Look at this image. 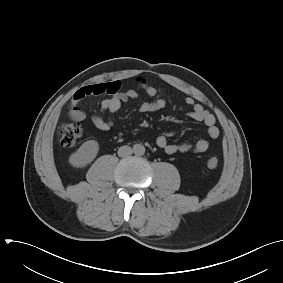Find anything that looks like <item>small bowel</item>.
<instances>
[{
  "instance_id": "small-bowel-1",
  "label": "small bowel",
  "mask_w": 283,
  "mask_h": 283,
  "mask_svg": "<svg viewBox=\"0 0 283 283\" xmlns=\"http://www.w3.org/2000/svg\"><path fill=\"white\" fill-rule=\"evenodd\" d=\"M141 82L146 94L152 98V101L141 103L139 105V111L149 113L163 109L166 106V99L163 96V91L160 88L149 85L145 80H142ZM102 94H106L108 97L102 100L100 113L92 116L94 126L101 131H107L113 126V115L120 110L123 103L138 98V93L134 89L121 91V84L119 81L87 85L77 90L73 95L69 105V118L78 122L84 120L86 114L81 108L83 99L87 96ZM185 103L191 107V111L188 114L189 117L195 121L202 122L207 127L209 137L216 139L219 136V129L216 126L215 116L190 96L185 98ZM104 112L109 114L107 118L102 116V113ZM173 134L174 132L172 131L165 132L158 136L156 140L157 146L168 155L185 153L188 151L204 153L209 149V142L206 139H199L193 144L170 143L169 138L173 136Z\"/></svg>"
}]
</instances>
